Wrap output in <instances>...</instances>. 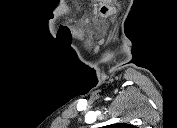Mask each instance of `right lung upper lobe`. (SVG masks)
Segmentation results:
<instances>
[{"label":"right lung upper lobe","instance_id":"cb5924a9","mask_svg":"<svg viewBox=\"0 0 177 128\" xmlns=\"http://www.w3.org/2000/svg\"><path fill=\"white\" fill-rule=\"evenodd\" d=\"M114 126L117 127V128H133L132 125H130V124H125V123H119V124H116V125H114Z\"/></svg>","mask_w":177,"mask_h":128}]
</instances>
